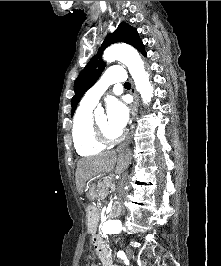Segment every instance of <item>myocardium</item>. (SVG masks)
<instances>
[{"instance_id": "obj_1", "label": "myocardium", "mask_w": 221, "mask_h": 266, "mask_svg": "<svg viewBox=\"0 0 221 266\" xmlns=\"http://www.w3.org/2000/svg\"><path fill=\"white\" fill-rule=\"evenodd\" d=\"M92 126H93V131H94L95 138L97 139V141H99L103 145H111V144L118 143L123 138V132L122 131H120L115 136L108 135L100 127V125L98 124L96 118L92 119Z\"/></svg>"}]
</instances>
